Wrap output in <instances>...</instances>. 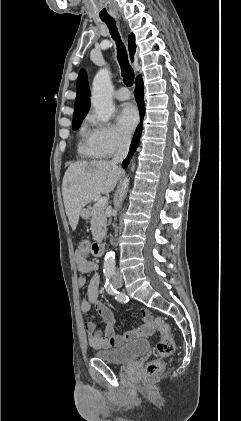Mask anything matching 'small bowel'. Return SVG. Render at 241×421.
<instances>
[{"label":"small bowel","mask_w":241,"mask_h":421,"mask_svg":"<svg viewBox=\"0 0 241 421\" xmlns=\"http://www.w3.org/2000/svg\"><path fill=\"white\" fill-rule=\"evenodd\" d=\"M76 266L80 273L89 274L90 279L80 276L77 280L78 286L83 288L86 286L84 298L81 302L80 309L85 318V329L88 334L89 345L96 349H109L118 347L125 342L140 337L149 336L154 332L152 324V315L147 309L142 310L144 323L132 330L125 331L121 335L115 332V318L112 311L99 300V284L100 277L98 274V264L84 256L76 253ZM96 311L102 318L105 328L102 330L96 323L92 311Z\"/></svg>","instance_id":"1"}]
</instances>
